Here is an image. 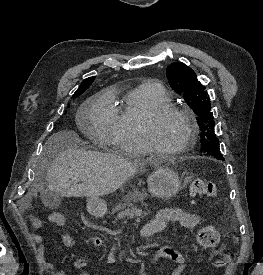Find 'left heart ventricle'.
<instances>
[{
  "label": "left heart ventricle",
  "instance_id": "obj_1",
  "mask_svg": "<svg viewBox=\"0 0 263 275\" xmlns=\"http://www.w3.org/2000/svg\"><path fill=\"white\" fill-rule=\"evenodd\" d=\"M189 134L187 121L177 115H170L161 119L155 127L156 143L168 150L176 149L184 144Z\"/></svg>",
  "mask_w": 263,
  "mask_h": 275
}]
</instances>
